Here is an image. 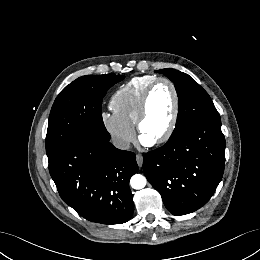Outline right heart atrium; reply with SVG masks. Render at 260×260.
Here are the masks:
<instances>
[{
  "instance_id": "1",
  "label": "right heart atrium",
  "mask_w": 260,
  "mask_h": 260,
  "mask_svg": "<svg viewBox=\"0 0 260 260\" xmlns=\"http://www.w3.org/2000/svg\"><path fill=\"white\" fill-rule=\"evenodd\" d=\"M100 118L103 127L111 136L116 147L125 150L134 142L136 137L134 126L126 122L114 111H103Z\"/></svg>"
}]
</instances>
